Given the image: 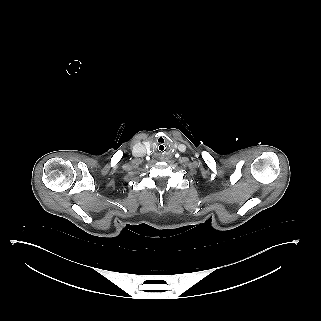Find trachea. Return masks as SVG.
Returning a JSON list of instances; mask_svg holds the SVG:
<instances>
[{
    "instance_id": "trachea-1",
    "label": "trachea",
    "mask_w": 321,
    "mask_h": 321,
    "mask_svg": "<svg viewBox=\"0 0 321 321\" xmlns=\"http://www.w3.org/2000/svg\"><path fill=\"white\" fill-rule=\"evenodd\" d=\"M153 152H154V155L156 156V157H163L164 155H165V152H166V150H165V146L164 145H156L155 147H154V150H153Z\"/></svg>"
}]
</instances>
